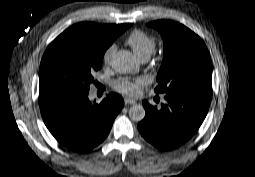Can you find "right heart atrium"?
Listing matches in <instances>:
<instances>
[{
  "label": "right heart atrium",
  "mask_w": 255,
  "mask_h": 177,
  "mask_svg": "<svg viewBox=\"0 0 255 177\" xmlns=\"http://www.w3.org/2000/svg\"><path fill=\"white\" fill-rule=\"evenodd\" d=\"M115 48H116L115 44H111L105 50L104 55H103V62L105 64H108L110 62L111 57H112L113 53L115 52Z\"/></svg>",
  "instance_id": "d8ad5b80"
}]
</instances>
